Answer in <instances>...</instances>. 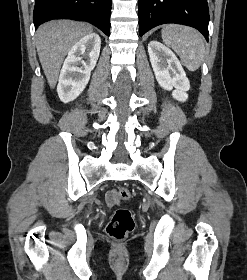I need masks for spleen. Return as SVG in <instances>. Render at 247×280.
Returning <instances> with one entry per match:
<instances>
[{
	"mask_svg": "<svg viewBox=\"0 0 247 280\" xmlns=\"http://www.w3.org/2000/svg\"><path fill=\"white\" fill-rule=\"evenodd\" d=\"M163 42L171 47L189 70L196 71L204 58V42L201 34L187 26L169 24L162 29Z\"/></svg>",
	"mask_w": 247,
	"mask_h": 280,
	"instance_id": "spleen-1",
	"label": "spleen"
}]
</instances>
